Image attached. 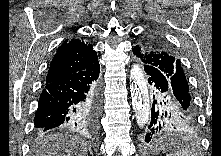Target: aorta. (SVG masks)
<instances>
[{
    "instance_id": "762f6f07",
    "label": "aorta",
    "mask_w": 221,
    "mask_h": 156,
    "mask_svg": "<svg viewBox=\"0 0 221 156\" xmlns=\"http://www.w3.org/2000/svg\"><path fill=\"white\" fill-rule=\"evenodd\" d=\"M130 76L132 107L138 117L139 125L144 126L147 122L145 98L148 93L144 73L139 66L135 65Z\"/></svg>"
}]
</instances>
